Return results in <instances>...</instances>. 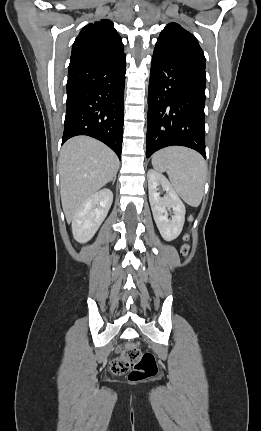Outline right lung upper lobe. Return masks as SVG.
<instances>
[{
    "mask_svg": "<svg viewBox=\"0 0 261 431\" xmlns=\"http://www.w3.org/2000/svg\"><path fill=\"white\" fill-rule=\"evenodd\" d=\"M124 52L120 35L107 19L86 25L77 36L71 59L87 56H115Z\"/></svg>",
    "mask_w": 261,
    "mask_h": 431,
    "instance_id": "obj_1",
    "label": "right lung upper lobe"
}]
</instances>
